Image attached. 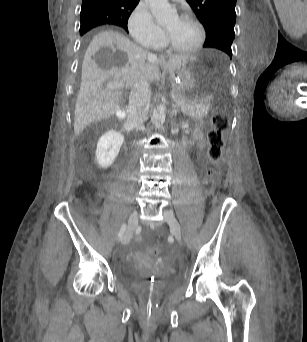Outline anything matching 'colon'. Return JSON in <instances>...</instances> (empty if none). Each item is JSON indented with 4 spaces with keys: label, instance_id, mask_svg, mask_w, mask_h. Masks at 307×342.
I'll list each match as a JSON object with an SVG mask.
<instances>
[{
    "label": "colon",
    "instance_id": "obj_1",
    "mask_svg": "<svg viewBox=\"0 0 307 342\" xmlns=\"http://www.w3.org/2000/svg\"><path fill=\"white\" fill-rule=\"evenodd\" d=\"M228 127L229 122L227 116L216 112L212 118V129L208 133L209 147L207 149L209 158L207 173L212 177H217L221 173L219 160L221 159L224 146V134L228 130ZM148 251L150 257H156L158 253L164 251V248L162 246H149Z\"/></svg>",
    "mask_w": 307,
    "mask_h": 342
}]
</instances>
